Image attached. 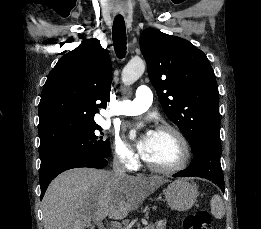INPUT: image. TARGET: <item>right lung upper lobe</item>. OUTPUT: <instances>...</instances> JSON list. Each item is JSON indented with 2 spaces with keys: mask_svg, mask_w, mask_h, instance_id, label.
Segmentation results:
<instances>
[{
  "mask_svg": "<svg viewBox=\"0 0 261 229\" xmlns=\"http://www.w3.org/2000/svg\"><path fill=\"white\" fill-rule=\"evenodd\" d=\"M112 68L97 39L63 55L48 75L39 104L40 150L73 140L97 125L110 99Z\"/></svg>",
  "mask_w": 261,
  "mask_h": 229,
  "instance_id": "obj_1",
  "label": "right lung upper lobe"
}]
</instances>
